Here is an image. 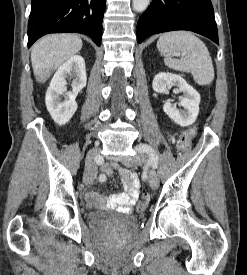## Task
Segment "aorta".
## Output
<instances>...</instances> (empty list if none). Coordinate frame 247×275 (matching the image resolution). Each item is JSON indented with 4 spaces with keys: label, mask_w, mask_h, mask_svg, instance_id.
<instances>
[{
    "label": "aorta",
    "mask_w": 247,
    "mask_h": 275,
    "mask_svg": "<svg viewBox=\"0 0 247 275\" xmlns=\"http://www.w3.org/2000/svg\"><path fill=\"white\" fill-rule=\"evenodd\" d=\"M150 4V0H132L133 9L136 12H143Z\"/></svg>",
    "instance_id": "1"
}]
</instances>
